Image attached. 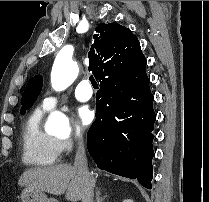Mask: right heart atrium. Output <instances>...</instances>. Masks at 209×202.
<instances>
[{"instance_id":"obj_1","label":"right heart atrium","mask_w":209,"mask_h":202,"mask_svg":"<svg viewBox=\"0 0 209 202\" xmlns=\"http://www.w3.org/2000/svg\"><path fill=\"white\" fill-rule=\"evenodd\" d=\"M58 144L61 151L71 152L75 147H79L82 144L81 137H66L58 139Z\"/></svg>"}]
</instances>
